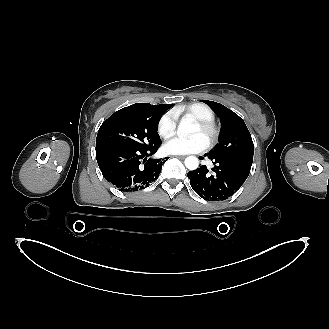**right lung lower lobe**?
Wrapping results in <instances>:
<instances>
[{
	"instance_id": "98d812e1",
	"label": "right lung lower lobe",
	"mask_w": 329,
	"mask_h": 329,
	"mask_svg": "<svg viewBox=\"0 0 329 329\" xmlns=\"http://www.w3.org/2000/svg\"><path fill=\"white\" fill-rule=\"evenodd\" d=\"M161 142L147 148L119 144L96 146V158L104 178L123 192L144 189L159 176L164 159H148Z\"/></svg>"
}]
</instances>
